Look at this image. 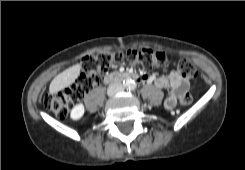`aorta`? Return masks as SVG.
I'll use <instances>...</instances> for the list:
<instances>
[{"label": "aorta", "mask_w": 245, "mask_h": 170, "mask_svg": "<svg viewBox=\"0 0 245 170\" xmlns=\"http://www.w3.org/2000/svg\"><path fill=\"white\" fill-rule=\"evenodd\" d=\"M128 86H129L130 88H134V87H135V83H134V81L129 82Z\"/></svg>", "instance_id": "1"}]
</instances>
